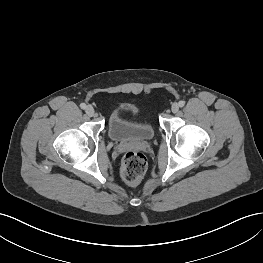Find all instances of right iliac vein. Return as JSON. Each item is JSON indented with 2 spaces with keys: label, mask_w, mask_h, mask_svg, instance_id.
Segmentation results:
<instances>
[{
  "label": "right iliac vein",
  "mask_w": 263,
  "mask_h": 263,
  "mask_svg": "<svg viewBox=\"0 0 263 263\" xmlns=\"http://www.w3.org/2000/svg\"><path fill=\"white\" fill-rule=\"evenodd\" d=\"M85 112L90 117L93 116L95 113L94 108L90 105L86 107Z\"/></svg>",
  "instance_id": "1"
}]
</instances>
